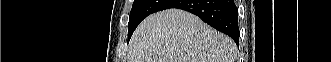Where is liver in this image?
Segmentation results:
<instances>
[{"label": "liver", "mask_w": 331, "mask_h": 62, "mask_svg": "<svg viewBox=\"0 0 331 62\" xmlns=\"http://www.w3.org/2000/svg\"><path fill=\"white\" fill-rule=\"evenodd\" d=\"M234 41L197 16L169 9L148 16L136 28L127 62H234Z\"/></svg>", "instance_id": "6515ba94"}]
</instances>
